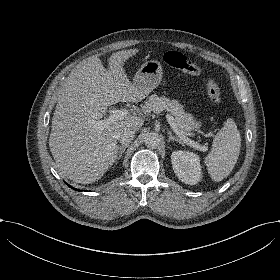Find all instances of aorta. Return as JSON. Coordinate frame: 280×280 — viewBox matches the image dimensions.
<instances>
[{
	"mask_svg": "<svg viewBox=\"0 0 280 280\" xmlns=\"http://www.w3.org/2000/svg\"><path fill=\"white\" fill-rule=\"evenodd\" d=\"M144 142L147 147L155 148L161 144V138L156 132H146L144 134Z\"/></svg>",
	"mask_w": 280,
	"mask_h": 280,
	"instance_id": "obj_1",
	"label": "aorta"
}]
</instances>
